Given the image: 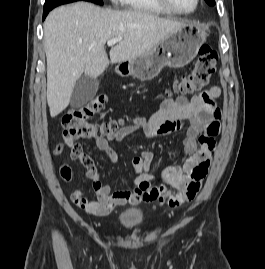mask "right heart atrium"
I'll list each match as a JSON object with an SVG mask.
<instances>
[{
	"label": "right heart atrium",
	"mask_w": 265,
	"mask_h": 269,
	"mask_svg": "<svg viewBox=\"0 0 265 269\" xmlns=\"http://www.w3.org/2000/svg\"><path fill=\"white\" fill-rule=\"evenodd\" d=\"M111 2L117 3V2H120V0H111Z\"/></svg>",
	"instance_id": "obj_1"
}]
</instances>
